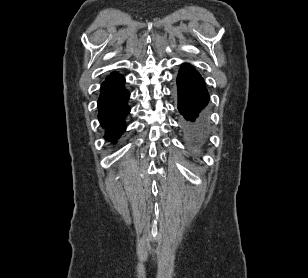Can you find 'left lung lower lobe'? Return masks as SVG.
I'll return each instance as SVG.
<instances>
[{
	"label": "left lung lower lobe",
	"mask_w": 308,
	"mask_h": 278,
	"mask_svg": "<svg viewBox=\"0 0 308 278\" xmlns=\"http://www.w3.org/2000/svg\"><path fill=\"white\" fill-rule=\"evenodd\" d=\"M178 109L183 115L188 138L199 141L203 138V110L208 105L209 94L201 75L189 64H183L177 77Z\"/></svg>",
	"instance_id": "obj_1"
}]
</instances>
